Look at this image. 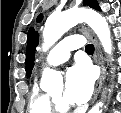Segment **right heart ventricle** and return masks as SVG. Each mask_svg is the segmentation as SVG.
Masks as SVG:
<instances>
[{"label": "right heart ventricle", "instance_id": "1", "mask_svg": "<svg viewBox=\"0 0 121 113\" xmlns=\"http://www.w3.org/2000/svg\"><path fill=\"white\" fill-rule=\"evenodd\" d=\"M29 113H51L52 107L46 92L41 90L38 84H34L28 104Z\"/></svg>", "mask_w": 121, "mask_h": 113}]
</instances>
